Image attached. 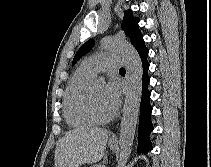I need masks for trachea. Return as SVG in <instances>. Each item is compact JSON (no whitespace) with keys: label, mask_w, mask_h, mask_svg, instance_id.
Instances as JSON below:
<instances>
[{"label":"trachea","mask_w":211,"mask_h":167,"mask_svg":"<svg viewBox=\"0 0 211 167\" xmlns=\"http://www.w3.org/2000/svg\"><path fill=\"white\" fill-rule=\"evenodd\" d=\"M120 71H125V69L124 68H121Z\"/></svg>","instance_id":"trachea-1"}]
</instances>
